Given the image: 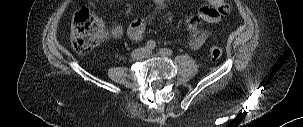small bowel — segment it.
<instances>
[{
    "instance_id": "small-bowel-1",
    "label": "small bowel",
    "mask_w": 303,
    "mask_h": 127,
    "mask_svg": "<svg viewBox=\"0 0 303 127\" xmlns=\"http://www.w3.org/2000/svg\"><path fill=\"white\" fill-rule=\"evenodd\" d=\"M156 8L150 12L146 19L136 17L128 27L127 33L133 41H140L145 34V22L153 21L159 12L166 7V0H153ZM207 5L200 8L197 16H192L186 21V30L191 35L190 46L192 49H199L209 38V31H202L198 26V20H203L208 23H217L223 14L228 13L229 8L224 3V0H205ZM100 0H91L89 8L94 9L99 4ZM124 28L120 23H113L110 27V34L114 38H119L123 35Z\"/></svg>"
}]
</instances>
